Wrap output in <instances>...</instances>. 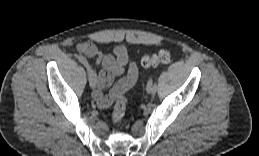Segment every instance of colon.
I'll list each match as a JSON object with an SVG mask.
<instances>
[{"instance_id":"colon-1","label":"colon","mask_w":259,"mask_h":156,"mask_svg":"<svg viewBox=\"0 0 259 156\" xmlns=\"http://www.w3.org/2000/svg\"><path fill=\"white\" fill-rule=\"evenodd\" d=\"M171 53L167 49L160 50L157 54H146L141 59L144 67H154L160 63H166L170 60ZM126 110V98L124 93L118 95L114 110L112 113V122L118 124L124 117Z\"/></svg>"}]
</instances>
